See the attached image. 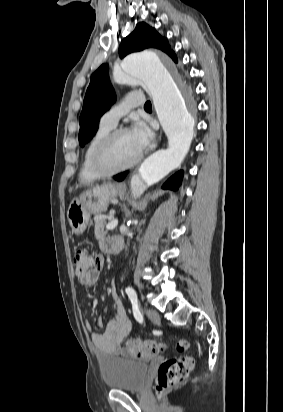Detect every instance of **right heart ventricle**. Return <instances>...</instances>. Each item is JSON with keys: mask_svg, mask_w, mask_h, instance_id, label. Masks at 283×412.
I'll return each instance as SVG.
<instances>
[{"mask_svg": "<svg viewBox=\"0 0 283 412\" xmlns=\"http://www.w3.org/2000/svg\"><path fill=\"white\" fill-rule=\"evenodd\" d=\"M112 130L111 127L100 123L97 130L89 138L80 162L79 177L81 181H91L98 178L97 172L92 166V155L98 143Z\"/></svg>", "mask_w": 283, "mask_h": 412, "instance_id": "right-heart-ventricle-1", "label": "right heart ventricle"}]
</instances>
